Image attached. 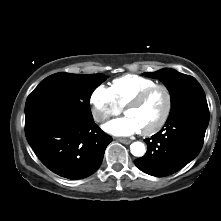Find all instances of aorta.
Returning a JSON list of instances; mask_svg holds the SVG:
<instances>
[{"instance_id":"1","label":"aorta","mask_w":221,"mask_h":221,"mask_svg":"<svg viewBox=\"0 0 221 221\" xmlns=\"http://www.w3.org/2000/svg\"><path fill=\"white\" fill-rule=\"evenodd\" d=\"M130 151L132 155L136 157H142L146 152V148L142 142L137 141V142H133L130 145Z\"/></svg>"}]
</instances>
